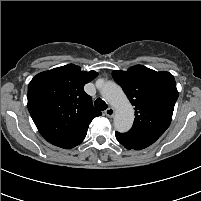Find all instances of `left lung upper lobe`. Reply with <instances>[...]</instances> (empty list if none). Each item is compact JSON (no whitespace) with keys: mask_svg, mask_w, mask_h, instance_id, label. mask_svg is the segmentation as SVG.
Returning a JSON list of instances; mask_svg holds the SVG:
<instances>
[{"mask_svg":"<svg viewBox=\"0 0 201 201\" xmlns=\"http://www.w3.org/2000/svg\"><path fill=\"white\" fill-rule=\"evenodd\" d=\"M112 76L135 107L129 132L160 137L171 123L178 98L173 75L136 65L127 71H114Z\"/></svg>","mask_w":201,"mask_h":201,"instance_id":"5c2ea615","label":"left lung upper lobe"}]
</instances>
